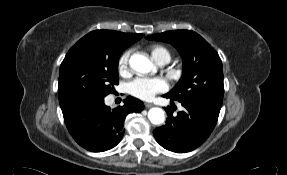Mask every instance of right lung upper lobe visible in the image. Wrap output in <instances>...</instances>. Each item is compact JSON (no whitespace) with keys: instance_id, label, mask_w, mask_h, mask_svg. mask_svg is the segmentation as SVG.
<instances>
[{"instance_id":"cb5924a9","label":"right lung upper lobe","mask_w":287,"mask_h":175,"mask_svg":"<svg viewBox=\"0 0 287 175\" xmlns=\"http://www.w3.org/2000/svg\"><path fill=\"white\" fill-rule=\"evenodd\" d=\"M87 36L94 37L99 43L103 45L120 44L129 47L143 37V34L122 33L111 30H95L87 34Z\"/></svg>"}]
</instances>
